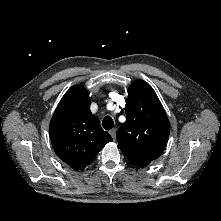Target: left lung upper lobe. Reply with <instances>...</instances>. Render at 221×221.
<instances>
[{
    "label": "left lung upper lobe",
    "instance_id": "left-lung-upper-lobe-1",
    "mask_svg": "<svg viewBox=\"0 0 221 221\" xmlns=\"http://www.w3.org/2000/svg\"><path fill=\"white\" fill-rule=\"evenodd\" d=\"M126 122L118 132L120 150L136 166L145 167L163 152L170 133L167 115L152 87L143 80L128 89Z\"/></svg>",
    "mask_w": 221,
    "mask_h": 221
}]
</instances>
